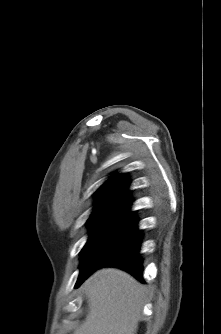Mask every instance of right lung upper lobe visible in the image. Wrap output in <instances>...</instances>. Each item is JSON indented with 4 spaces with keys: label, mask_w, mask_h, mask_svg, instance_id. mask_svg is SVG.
Listing matches in <instances>:
<instances>
[{
    "label": "right lung upper lobe",
    "mask_w": 221,
    "mask_h": 334,
    "mask_svg": "<svg viewBox=\"0 0 221 334\" xmlns=\"http://www.w3.org/2000/svg\"><path fill=\"white\" fill-rule=\"evenodd\" d=\"M128 179L124 174L116 175L104 183L97 191L96 207L90 216H134L129 211L132 198L129 197L127 186ZM89 218V219H90Z\"/></svg>",
    "instance_id": "obj_1"
}]
</instances>
